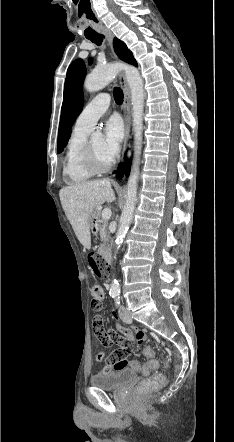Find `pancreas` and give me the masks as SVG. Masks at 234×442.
I'll return each instance as SVG.
<instances>
[{
  "label": "pancreas",
  "mask_w": 234,
  "mask_h": 442,
  "mask_svg": "<svg viewBox=\"0 0 234 442\" xmlns=\"http://www.w3.org/2000/svg\"><path fill=\"white\" fill-rule=\"evenodd\" d=\"M96 214L98 215V212ZM98 223H99L100 238H101V240L103 242L101 246L105 247L108 244L109 240H110V234H109V232L107 230V224L108 223L104 219L99 220Z\"/></svg>",
  "instance_id": "1"
}]
</instances>
